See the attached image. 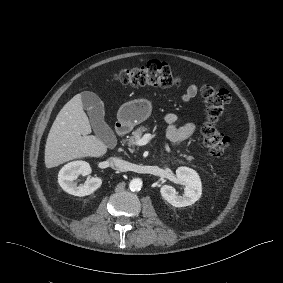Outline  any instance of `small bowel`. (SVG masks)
Masks as SVG:
<instances>
[{
    "mask_svg": "<svg viewBox=\"0 0 283 283\" xmlns=\"http://www.w3.org/2000/svg\"><path fill=\"white\" fill-rule=\"evenodd\" d=\"M197 92V85L190 84L181 97L182 102H189L197 95ZM164 120L166 123V135L173 145H179L185 142L196 130V125L194 123H187L183 126H178V116L175 113H167Z\"/></svg>",
    "mask_w": 283,
    "mask_h": 283,
    "instance_id": "obj_1",
    "label": "small bowel"
}]
</instances>
